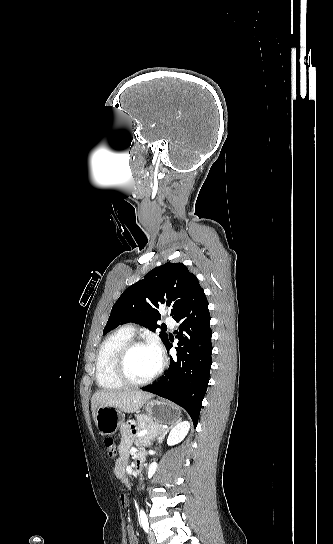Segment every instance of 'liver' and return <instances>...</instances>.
<instances>
[{
    "label": "liver",
    "instance_id": "1",
    "mask_svg": "<svg viewBox=\"0 0 333 544\" xmlns=\"http://www.w3.org/2000/svg\"><path fill=\"white\" fill-rule=\"evenodd\" d=\"M151 397V394L142 392L140 390H101L96 392L91 398L92 416L95 420L96 410L99 406L117 408L126 413L138 412L145 402Z\"/></svg>",
    "mask_w": 333,
    "mask_h": 544
}]
</instances>
